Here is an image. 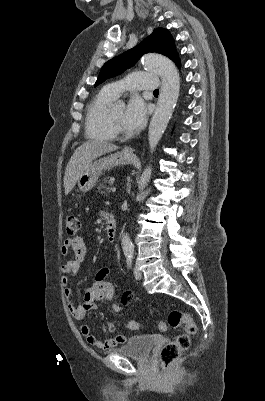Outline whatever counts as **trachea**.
<instances>
[{
  "label": "trachea",
  "instance_id": "obj_1",
  "mask_svg": "<svg viewBox=\"0 0 265 401\" xmlns=\"http://www.w3.org/2000/svg\"><path fill=\"white\" fill-rule=\"evenodd\" d=\"M154 93H159V90H154Z\"/></svg>",
  "mask_w": 265,
  "mask_h": 401
}]
</instances>
